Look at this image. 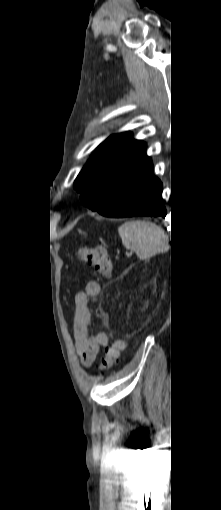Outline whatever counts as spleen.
<instances>
[{
  "instance_id": "3e777b00",
  "label": "spleen",
  "mask_w": 221,
  "mask_h": 510,
  "mask_svg": "<svg viewBox=\"0 0 221 510\" xmlns=\"http://www.w3.org/2000/svg\"><path fill=\"white\" fill-rule=\"evenodd\" d=\"M123 245L136 252L144 260L168 248V237L164 230L146 221H127L118 228Z\"/></svg>"
}]
</instances>
